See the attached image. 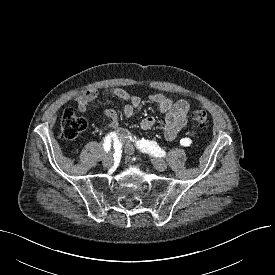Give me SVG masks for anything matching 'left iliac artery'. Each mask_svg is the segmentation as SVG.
<instances>
[{"mask_svg": "<svg viewBox=\"0 0 275 275\" xmlns=\"http://www.w3.org/2000/svg\"><path fill=\"white\" fill-rule=\"evenodd\" d=\"M192 143L190 138H183L180 140V144L184 147L190 146ZM137 145L139 148L145 152L154 153L156 152L157 146L156 142L148 141V140H141L137 141Z\"/></svg>", "mask_w": 275, "mask_h": 275, "instance_id": "1", "label": "left iliac artery"}]
</instances>
